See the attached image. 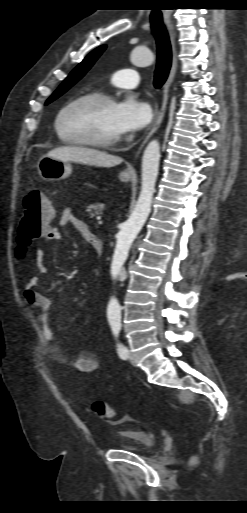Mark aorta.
Masks as SVG:
<instances>
[{
	"label": "aorta",
	"instance_id": "762f6f07",
	"mask_svg": "<svg viewBox=\"0 0 247 513\" xmlns=\"http://www.w3.org/2000/svg\"><path fill=\"white\" fill-rule=\"evenodd\" d=\"M131 61L135 66L144 67L153 63L154 56L151 51L142 47H136L131 53ZM159 161L160 144L154 139L148 143L143 153L141 164V191L135 209L118 233L111 264V274L113 278L118 277L121 273L128 257L130 247L150 214L158 176ZM108 318L111 321L117 322L121 319V307L116 299L110 301Z\"/></svg>",
	"mask_w": 247,
	"mask_h": 513
}]
</instances>
